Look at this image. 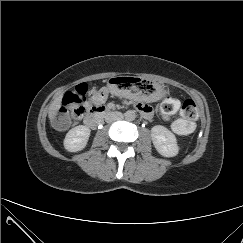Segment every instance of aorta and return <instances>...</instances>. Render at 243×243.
Here are the masks:
<instances>
[{
    "mask_svg": "<svg viewBox=\"0 0 243 243\" xmlns=\"http://www.w3.org/2000/svg\"><path fill=\"white\" fill-rule=\"evenodd\" d=\"M127 121H133L136 118V112L134 110H128L124 114Z\"/></svg>",
    "mask_w": 243,
    "mask_h": 243,
    "instance_id": "obj_1",
    "label": "aorta"
}]
</instances>
